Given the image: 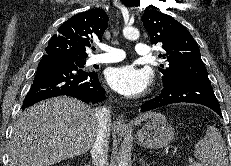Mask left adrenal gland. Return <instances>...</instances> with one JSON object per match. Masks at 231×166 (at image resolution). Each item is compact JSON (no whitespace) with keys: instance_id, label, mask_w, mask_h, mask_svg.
Here are the masks:
<instances>
[{"instance_id":"1","label":"left adrenal gland","mask_w":231,"mask_h":166,"mask_svg":"<svg viewBox=\"0 0 231 166\" xmlns=\"http://www.w3.org/2000/svg\"><path fill=\"white\" fill-rule=\"evenodd\" d=\"M140 163L142 164V166H150L149 164H147L143 157L140 158Z\"/></svg>"}]
</instances>
